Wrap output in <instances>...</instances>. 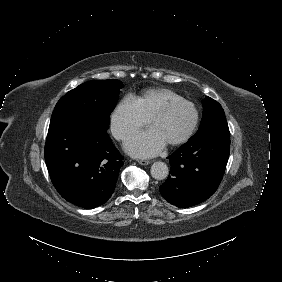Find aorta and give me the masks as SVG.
Instances as JSON below:
<instances>
[{"mask_svg":"<svg viewBox=\"0 0 282 282\" xmlns=\"http://www.w3.org/2000/svg\"><path fill=\"white\" fill-rule=\"evenodd\" d=\"M168 173V166L164 162H155L151 166V175L156 180H163L167 178Z\"/></svg>","mask_w":282,"mask_h":282,"instance_id":"1","label":"aorta"}]
</instances>
